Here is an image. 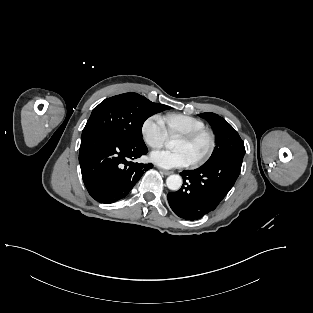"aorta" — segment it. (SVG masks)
<instances>
[{
  "mask_svg": "<svg viewBox=\"0 0 313 313\" xmlns=\"http://www.w3.org/2000/svg\"><path fill=\"white\" fill-rule=\"evenodd\" d=\"M172 145V141H170L168 143V146ZM166 185L170 190L173 191H177L181 188L182 186V178L180 175L177 174H173L170 175L167 179H166Z\"/></svg>",
  "mask_w": 313,
  "mask_h": 313,
  "instance_id": "obj_1",
  "label": "aorta"
}]
</instances>
